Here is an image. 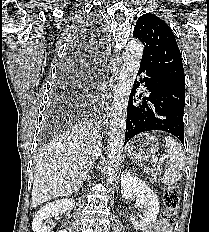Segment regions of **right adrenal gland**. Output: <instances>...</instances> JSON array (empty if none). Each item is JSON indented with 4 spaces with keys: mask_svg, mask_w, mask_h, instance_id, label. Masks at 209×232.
Here are the masks:
<instances>
[{
    "mask_svg": "<svg viewBox=\"0 0 209 232\" xmlns=\"http://www.w3.org/2000/svg\"><path fill=\"white\" fill-rule=\"evenodd\" d=\"M89 179H90V173L87 174V176H86V178L83 180V182H84L85 180L89 181Z\"/></svg>",
    "mask_w": 209,
    "mask_h": 232,
    "instance_id": "obj_1",
    "label": "right adrenal gland"
}]
</instances>
